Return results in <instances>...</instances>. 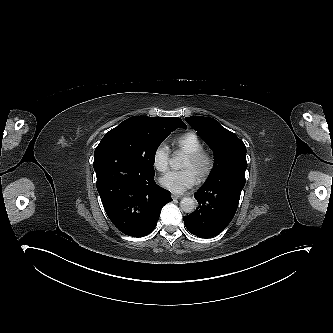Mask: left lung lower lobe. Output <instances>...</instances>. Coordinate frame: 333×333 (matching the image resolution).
Masks as SVG:
<instances>
[{
    "label": "left lung lower lobe",
    "mask_w": 333,
    "mask_h": 333,
    "mask_svg": "<svg viewBox=\"0 0 333 333\" xmlns=\"http://www.w3.org/2000/svg\"><path fill=\"white\" fill-rule=\"evenodd\" d=\"M245 185V172L240 178L226 182L221 177L208 182L194 194L199 206L188 216H183L190 233L208 238L218 235L233 219Z\"/></svg>",
    "instance_id": "left-lung-lower-lobe-1"
}]
</instances>
